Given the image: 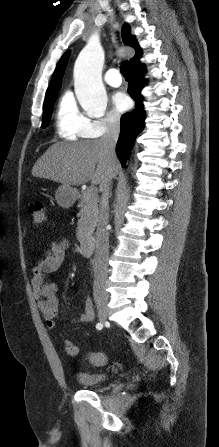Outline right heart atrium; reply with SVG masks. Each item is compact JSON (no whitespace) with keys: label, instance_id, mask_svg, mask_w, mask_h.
<instances>
[{"label":"right heart atrium","instance_id":"obj_1","mask_svg":"<svg viewBox=\"0 0 219 447\" xmlns=\"http://www.w3.org/2000/svg\"><path fill=\"white\" fill-rule=\"evenodd\" d=\"M121 115L117 111L108 112L103 118L92 122V129L95 136H102L117 129L121 124Z\"/></svg>","mask_w":219,"mask_h":447}]
</instances>
